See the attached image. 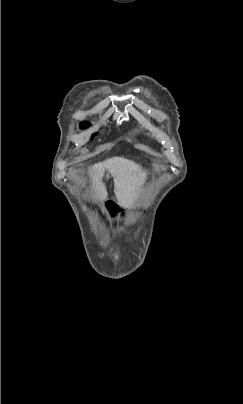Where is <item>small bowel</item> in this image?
I'll list each match as a JSON object with an SVG mask.
<instances>
[{
	"mask_svg": "<svg viewBox=\"0 0 243 404\" xmlns=\"http://www.w3.org/2000/svg\"><path fill=\"white\" fill-rule=\"evenodd\" d=\"M105 209L112 221H125L128 218L126 212L114 200H107Z\"/></svg>",
	"mask_w": 243,
	"mask_h": 404,
	"instance_id": "obj_1",
	"label": "small bowel"
}]
</instances>
